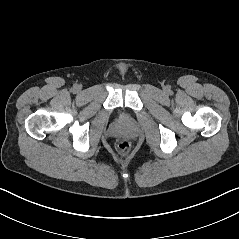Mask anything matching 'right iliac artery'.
Returning <instances> with one entry per match:
<instances>
[{"mask_svg": "<svg viewBox=\"0 0 239 239\" xmlns=\"http://www.w3.org/2000/svg\"><path fill=\"white\" fill-rule=\"evenodd\" d=\"M77 88V86L76 85H74V89H76Z\"/></svg>", "mask_w": 239, "mask_h": 239, "instance_id": "1", "label": "right iliac artery"}]
</instances>
